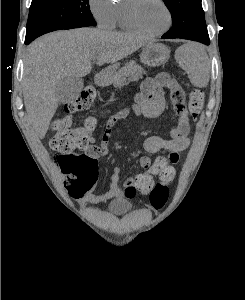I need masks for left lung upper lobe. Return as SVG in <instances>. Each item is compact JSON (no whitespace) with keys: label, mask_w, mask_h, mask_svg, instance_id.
Instances as JSON below:
<instances>
[{"label":"left lung upper lobe","mask_w":245,"mask_h":300,"mask_svg":"<svg viewBox=\"0 0 245 300\" xmlns=\"http://www.w3.org/2000/svg\"><path fill=\"white\" fill-rule=\"evenodd\" d=\"M171 12L173 26L164 36L193 35L207 32L201 0H163ZM208 33V32H207Z\"/></svg>","instance_id":"5c2ea615"}]
</instances>
